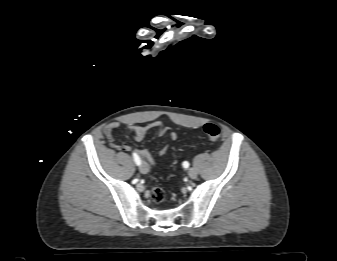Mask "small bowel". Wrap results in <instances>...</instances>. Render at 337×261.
<instances>
[{
  "label": "small bowel",
  "mask_w": 337,
  "mask_h": 261,
  "mask_svg": "<svg viewBox=\"0 0 337 261\" xmlns=\"http://www.w3.org/2000/svg\"><path fill=\"white\" fill-rule=\"evenodd\" d=\"M120 127L118 122H111L104 126L103 133L107 137L110 142L112 148L119 151H128L130 146L126 142L119 141L114 136V131ZM127 130L131 134V136L136 141H141L145 138L146 134L151 130H156L158 134L163 135L165 133H169V138L171 141H175L177 139V133L174 132L168 125L164 124L161 121H154L146 125H128ZM171 149L170 145L164 146L158 153V157H154L149 154L148 151L144 149H135L134 153L145 160V163L148 165H155L158 162L159 158L164 157L169 150Z\"/></svg>",
  "instance_id": "1"
}]
</instances>
